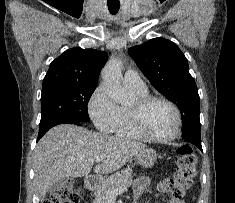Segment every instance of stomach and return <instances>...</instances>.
<instances>
[{"label":"stomach","instance_id":"1","mask_svg":"<svg viewBox=\"0 0 235 203\" xmlns=\"http://www.w3.org/2000/svg\"><path fill=\"white\" fill-rule=\"evenodd\" d=\"M137 162L145 167L151 168L157 160V153L150 148H144L136 153Z\"/></svg>","mask_w":235,"mask_h":203}]
</instances>
